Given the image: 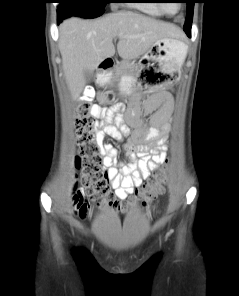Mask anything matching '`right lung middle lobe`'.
Listing matches in <instances>:
<instances>
[{
  "mask_svg": "<svg viewBox=\"0 0 239 296\" xmlns=\"http://www.w3.org/2000/svg\"><path fill=\"white\" fill-rule=\"evenodd\" d=\"M111 0H60L58 12L64 17L72 15L83 18H95L103 14L104 8Z\"/></svg>",
  "mask_w": 239,
  "mask_h": 296,
  "instance_id": "dd1d6c3e",
  "label": "right lung middle lobe"
}]
</instances>
